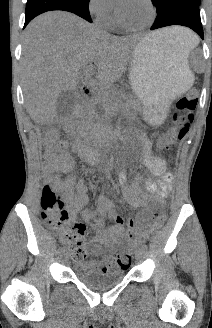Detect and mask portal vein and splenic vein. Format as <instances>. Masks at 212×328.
Listing matches in <instances>:
<instances>
[{"label": "portal vein and splenic vein", "mask_w": 212, "mask_h": 328, "mask_svg": "<svg viewBox=\"0 0 212 328\" xmlns=\"http://www.w3.org/2000/svg\"><path fill=\"white\" fill-rule=\"evenodd\" d=\"M87 70L89 71L90 70V67H87ZM87 74V73H86Z\"/></svg>", "instance_id": "18ae733b"}]
</instances>
